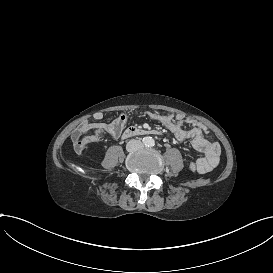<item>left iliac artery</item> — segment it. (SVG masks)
Instances as JSON below:
<instances>
[{
  "label": "left iliac artery",
  "instance_id": "obj_1",
  "mask_svg": "<svg viewBox=\"0 0 273 273\" xmlns=\"http://www.w3.org/2000/svg\"><path fill=\"white\" fill-rule=\"evenodd\" d=\"M154 145H155L154 140H151V141L149 142V146H154Z\"/></svg>",
  "mask_w": 273,
  "mask_h": 273
}]
</instances>
